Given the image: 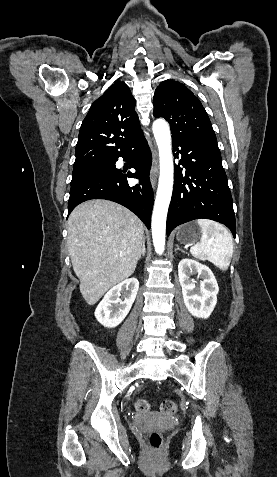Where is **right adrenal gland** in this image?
<instances>
[{"label":"right adrenal gland","instance_id":"1","mask_svg":"<svg viewBox=\"0 0 277 477\" xmlns=\"http://www.w3.org/2000/svg\"><path fill=\"white\" fill-rule=\"evenodd\" d=\"M145 250H146V249H145V238H144V239H143V242H142V249H141L140 254H139V256H138V260H140V258H141L142 255L145 256Z\"/></svg>","mask_w":277,"mask_h":477}]
</instances>
